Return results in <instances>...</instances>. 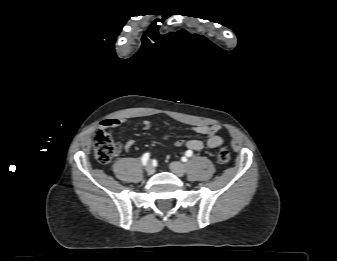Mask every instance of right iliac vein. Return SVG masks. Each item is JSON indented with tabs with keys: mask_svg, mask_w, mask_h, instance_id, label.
<instances>
[{
	"mask_svg": "<svg viewBox=\"0 0 337 261\" xmlns=\"http://www.w3.org/2000/svg\"><path fill=\"white\" fill-rule=\"evenodd\" d=\"M155 169L153 167V165L151 163H149L147 166H146V172L148 175H152L154 173Z\"/></svg>",
	"mask_w": 337,
	"mask_h": 261,
	"instance_id": "1",
	"label": "right iliac vein"
}]
</instances>
